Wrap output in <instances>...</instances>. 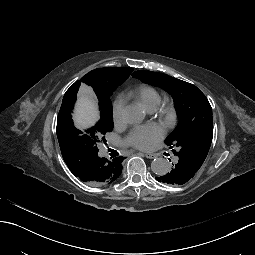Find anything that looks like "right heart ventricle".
<instances>
[{"mask_svg": "<svg viewBox=\"0 0 255 255\" xmlns=\"http://www.w3.org/2000/svg\"><path fill=\"white\" fill-rule=\"evenodd\" d=\"M135 97L139 104L150 112H155L161 102V95L159 90L152 85L140 86Z\"/></svg>", "mask_w": 255, "mask_h": 255, "instance_id": "1", "label": "right heart ventricle"}]
</instances>
